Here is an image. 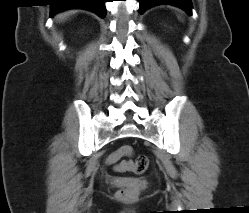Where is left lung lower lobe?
Wrapping results in <instances>:
<instances>
[{"mask_svg": "<svg viewBox=\"0 0 249 213\" xmlns=\"http://www.w3.org/2000/svg\"><path fill=\"white\" fill-rule=\"evenodd\" d=\"M140 9L139 13H143L146 9L159 5V4H171L183 8L189 14L191 13V0H139Z\"/></svg>", "mask_w": 249, "mask_h": 213, "instance_id": "left-lung-lower-lobe-1", "label": "left lung lower lobe"}]
</instances>
